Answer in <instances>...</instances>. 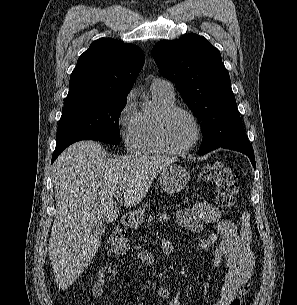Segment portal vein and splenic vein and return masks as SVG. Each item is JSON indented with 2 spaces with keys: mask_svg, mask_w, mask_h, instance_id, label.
Masks as SVG:
<instances>
[{
  "mask_svg": "<svg viewBox=\"0 0 297 305\" xmlns=\"http://www.w3.org/2000/svg\"><path fill=\"white\" fill-rule=\"evenodd\" d=\"M114 198H116V199H121V198H122V194H121V193H116V194L114 195Z\"/></svg>",
  "mask_w": 297,
  "mask_h": 305,
  "instance_id": "obj_1",
  "label": "portal vein and splenic vein"
}]
</instances>
